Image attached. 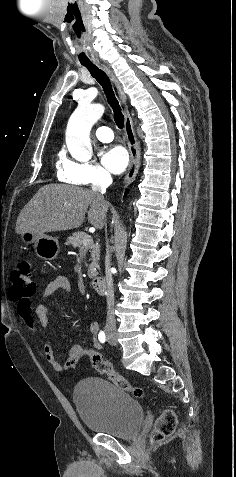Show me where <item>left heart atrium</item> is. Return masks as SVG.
Returning <instances> with one entry per match:
<instances>
[{
	"mask_svg": "<svg viewBox=\"0 0 236 477\" xmlns=\"http://www.w3.org/2000/svg\"><path fill=\"white\" fill-rule=\"evenodd\" d=\"M102 162L109 171L119 174L127 167L129 156L125 148L112 146L102 152Z\"/></svg>",
	"mask_w": 236,
	"mask_h": 477,
	"instance_id": "obj_1",
	"label": "left heart atrium"
}]
</instances>
